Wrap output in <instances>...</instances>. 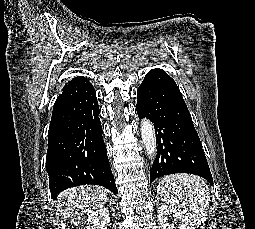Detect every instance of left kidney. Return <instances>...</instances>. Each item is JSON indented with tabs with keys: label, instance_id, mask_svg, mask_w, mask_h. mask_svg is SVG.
Here are the masks:
<instances>
[{
	"label": "left kidney",
	"instance_id": "obj_1",
	"mask_svg": "<svg viewBox=\"0 0 255 229\" xmlns=\"http://www.w3.org/2000/svg\"><path fill=\"white\" fill-rule=\"evenodd\" d=\"M157 217L159 221V229H173L174 224L168 221V218L173 217L174 220L179 221V229H195L190 219L183 213L178 212L167 205H161L157 209Z\"/></svg>",
	"mask_w": 255,
	"mask_h": 229
}]
</instances>
